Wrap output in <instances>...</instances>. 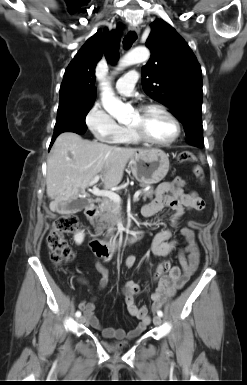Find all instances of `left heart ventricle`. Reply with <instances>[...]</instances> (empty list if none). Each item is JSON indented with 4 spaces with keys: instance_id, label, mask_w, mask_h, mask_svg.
I'll list each match as a JSON object with an SVG mask.
<instances>
[{
    "instance_id": "left-heart-ventricle-1",
    "label": "left heart ventricle",
    "mask_w": 247,
    "mask_h": 385,
    "mask_svg": "<svg viewBox=\"0 0 247 385\" xmlns=\"http://www.w3.org/2000/svg\"><path fill=\"white\" fill-rule=\"evenodd\" d=\"M129 126L138 128L148 138L155 141H167L172 138L175 132L171 120L158 110H152L145 114H139L136 111Z\"/></svg>"
}]
</instances>
